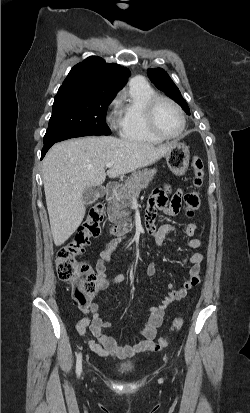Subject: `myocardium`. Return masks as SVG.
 <instances>
[{"label": "myocardium", "mask_w": 250, "mask_h": 413, "mask_svg": "<svg viewBox=\"0 0 250 413\" xmlns=\"http://www.w3.org/2000/svg\"><path fill=\"white\" fill-rule=\"evenodd\" d=\"M161 102H167L170 105H172L180 115L181 128H180L179 132L175 135H166V134L160 132L159 129L157 128L155 115H156L157 107H158L159 103H161ZM145 118H146V125H147V128H148L149 132L154 137H156L160 140L177 139L183 134V132L186 128V116H185V113H184L183 109L173 99H171L167 96H164V95L156 94L148 100V102L146 104V108H145Z\"/></svg>", "instance_id": "1"}]
</instances>
